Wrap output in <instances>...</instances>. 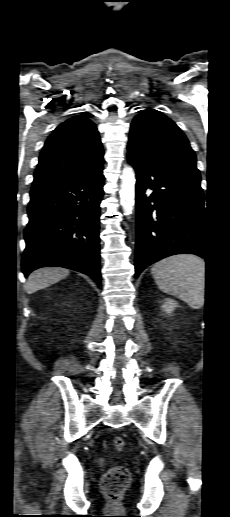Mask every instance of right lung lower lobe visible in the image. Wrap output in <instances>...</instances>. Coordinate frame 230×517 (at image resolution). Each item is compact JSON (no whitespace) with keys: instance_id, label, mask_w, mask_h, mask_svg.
<instances>
[{"instance_id":"right-lung-lower-lobe-1","label":"right lung lower lobe","mask_w":230,"mask_h":517,"mask_svg":"<svg viewBox=\"0 0 230 517\" xmlns=\"http://www.w3.org/2000/svg\"><path fill=\"white\" fill-rule=\"evenodd\" d=\"M103 167L87 176L42 189H32L22 272L59 266L82 272L98 285L99 204L103 196Z\"/></svg>"}]
</instances>
